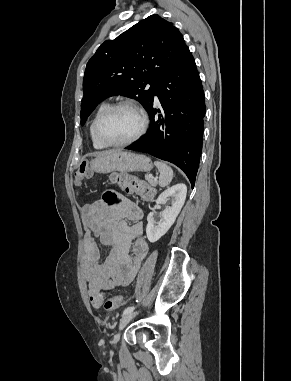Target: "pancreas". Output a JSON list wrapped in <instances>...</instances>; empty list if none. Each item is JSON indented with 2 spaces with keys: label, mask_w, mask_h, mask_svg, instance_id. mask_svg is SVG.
<instances>
[{
  "label": "pancreas",
  "mask_w": 291,
  "mask_h": 381,
  "mask_svg": "<svg viewBox=\"0 0 291 381\" xmlns=\"http://www.w3.org/2000/svg\"><path fill=\"white\" fill-rule=\"evenodd\" d=\"M145 179L147 180V182L151 185V186H156L157 184V181L153 178H149L148 175L145 177Z\"/></svg>",
  "instance_id": "obj_1"
}]
</instances>
